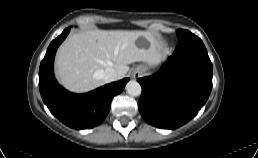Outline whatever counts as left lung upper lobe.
I'll return each mask as SVG.
<instances>
[{"label":"left lung upper lobe","instance_id":"1","mask_svg":"<svg viewBox=\"0 0 258 158\" xmlns=\"http://www.w3.org/2000/svg\"><path fill=\"white\" fill-rule=\"evenodd\" d=\"M190 35H192V33L189 32L188 30H183V29H178L177 30V36H178V39H179L180 42L185 40Z\"/></svg>","mask_w":258,"mask_h":158}]
</instances>
